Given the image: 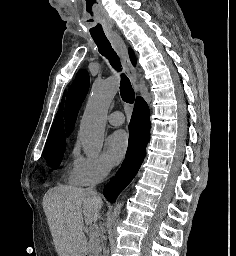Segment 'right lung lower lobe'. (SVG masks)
<instances>
[{"label":"right lung lower lobe","mask_w":236,"mask_h":256,"mask_svg":"<svg viewBox=\"0 0 236 256\" xmlns=\"http://www.w3.org/2000/svg\"><path fill=\"white\" fill-rule=\"evenodd\" d=\"M150 138V113L147 103L137 97L132 118L129 124V145L126 157L115 177L105 186L104 196L115 202L118 194L132 181L137 174L146 154Z\"/></svg>","instance_id":"right-lung-lower-lobe-1"}]
</instances>
